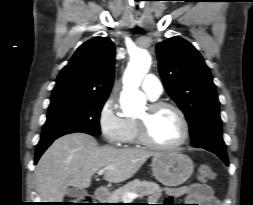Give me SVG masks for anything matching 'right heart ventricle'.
<instances>
[{
	"label": "right heart ventricle",
	"mask_w": 253,
	"mask_h": 205,
	"mask_svg": "<svg viewBox=\"0 0 253 205\" xmlns=\"http://www.w3.org/2000/svg\"><path fill=\"white\" fill-rule=\"evenodd\" d=\"M156 100V99H151ZM128 133L125 142L129 144H136L139 143L138 137H137V126H136V120L134 119H128Z\"/></svg>",
	"instance_id": "right-heart-ventricle-1"
}]
</instances>
